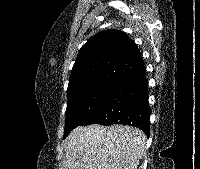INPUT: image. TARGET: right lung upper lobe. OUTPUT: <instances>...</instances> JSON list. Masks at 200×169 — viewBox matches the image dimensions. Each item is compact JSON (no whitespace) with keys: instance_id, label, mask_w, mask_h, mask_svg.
Listing matches in <instances>:
<instances>
[{"instance_id":"cb5924a9","label":"right lung upper lobe","mask_w":200,"mask_h":169,"mask_svg":"<svg viewBox=\"0 0 200 169\" xmlns=\"http://www.w3.org/2000/svg\"><path fill=\"white\" fill-rule=\"evenodd\" d=\"M143 72L140 51L124 32L101 31L80 49L68 84V98L92 84L119 82Z\"/></svg>"}]
</instances>
